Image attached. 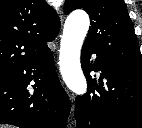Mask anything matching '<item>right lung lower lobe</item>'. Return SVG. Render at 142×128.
<instances>
[{"instance_id":"1","label":"right lung lower lobe","mask_w":142,"mask_h":128,"mask_svg":"<svg viewBox=\"0 0 142 128\" xmlns=\"http://www.w3.org/2000/svg\"><path fill=\"white\" fill-rule=\"evenodd\" d=\"M69 113V99L49 48L0 78V124L65 128Z\"/></svg>"}]
</instances>
